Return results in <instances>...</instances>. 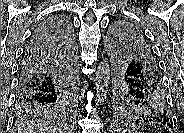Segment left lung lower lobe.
I'll return each mask as SVG.
<instances>
[{"label":"left lung lower lobe","instance_id":"1","mask_svg":"<svg viewBox=\"0 0 184 133\" xmlns=\"http://www.w3.org/2000/svg\"><path fill=\"white\" fill-rule=\"evenodd\" d=\"M138 88H139V94L147 98L150 101L151 106L153 108V111L150 113V116L148 117L146 122H158L165 126L171 127L170 111H168L167 109L168 103H167L163 83L159 82L157 84L150 85V89L152 90V93H149V91H145L144 89H141L140 86H138Z\"/></svg>","mask_w":184,"mask_h":133}]
</instances>
